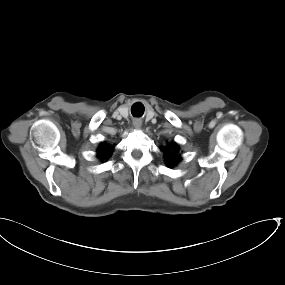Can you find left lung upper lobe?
Here are the masks:
<instances>
[{"label": "left lung upper lobe", "instance_id": "obj_1", "mask_svg": "<svg viewBox=\"0 0 285 285\" xmlns=\"http://www.w3.org/2000/svg\"><path fill=\"white\" fill-rule=\"evenodd\" d=\"M166 156V163L168 167H174L180 160L181 157L178 154L179 147L173 143L165 146L161 149Z\"/></svg>", "mask_w": 285, "mask_h": 285}]
</instances>
